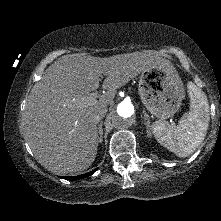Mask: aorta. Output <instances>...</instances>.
<instances>
[{
  "instance_id": "aorta-1",
  "label": "aorta",
  "mask_w": 221,
  "mask_h": 221,
  "mask_svg": "<svg viewBox=\"0 0 221 221\" xmlns=\"http://www.w3.org/2000/svg\"><path fill=\"white\" fill-rule=\"evenodd\" d=\"M134 105L127 100L118 102L112 111V122L118 130L130 128L135 121Z\"/></svg>"
}]
</instances>
